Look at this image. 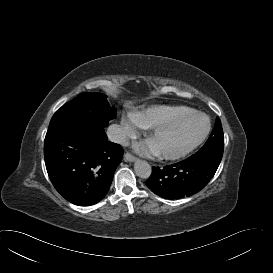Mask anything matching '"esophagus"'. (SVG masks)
I'll use <instances>...</instances> for the list:
<instances>
[{"mask_svg":"<svg viewBox=\"0 0 273 273\" xmlns=\"http://www.w3.org/2000/svg\"><path fill=\"white\" fill-rule=\"evenodd\" d=\"M124 158L128 162H134L137 159L134 155H132L129 152L125 153Z\"/></svg>","mask_w":273,"mask_h":273,"instance_id":"34e87169","label":"esophagus"}]
</instances>
